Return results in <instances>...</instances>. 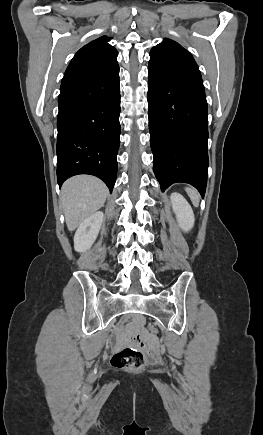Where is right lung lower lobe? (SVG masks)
Here are the masks:
<instances>
[{
	"label": "right lung lower lobe",
	"instance_id": "98d812e1",
	"mask_svg": "<svg viewBox=\"0 0 263 435\" xmlns=\"http://www.w3.org/2000/svg\"><path fill=\"white\" fill-rule=\"evenodd\" d=\"M119 65L61 84L57 118V179L91 174L112 192L120 144Z\"/></svg>",
	"mask_w": 263,
	"mask_h": 435
}]
</instances>
